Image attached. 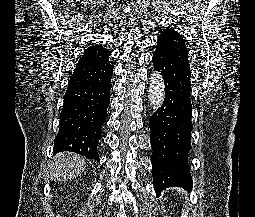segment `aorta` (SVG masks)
I'll use <instances>...</instances> for the list:
<instances>
[{
    "instance_id": "obj_1",
    "label": "aorta",
    "mask_w": 255,
    "mask_h": 217,
    "mask_svg": "<svg viewBox=\"0 0 255 217\" xmlns=\"http://www.w3.org/2000/svg\"><path fill=\"white\" fill-rule=\"evenodd\" d=\"M164 88L163 76L159 72H154L149 85V101L154 110L158 109L164 102Z\"/></svg>"
}]
</instances>
